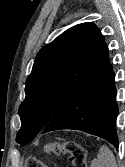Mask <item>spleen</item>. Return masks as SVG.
I'll use <instances>...</instances> for the list:
<instances>
[{
  "label": "spleen",
  "mask_w": 125,
  "mask_h": 167,
  "mask_svg": "<svg viewBox=\"0 0 125 167\" xmlns=\"http://www.w3.org/2000/svg\"><path fill=\"white\" fill-rule=\"evenodd\" d=\"M91 167H117L112 151L103 145L99 150L97 158L92 161Z\"/></svg>",
  "instance_id": "1"
}]
</instances>
